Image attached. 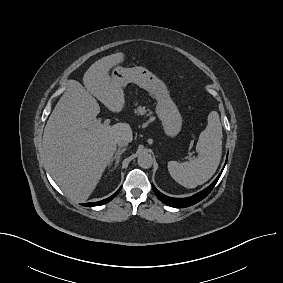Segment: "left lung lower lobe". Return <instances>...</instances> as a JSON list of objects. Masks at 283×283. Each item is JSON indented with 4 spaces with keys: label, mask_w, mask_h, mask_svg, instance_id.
I'll return each instance as SVG.
<instances>
[{
    "label": "left lung lower lobe",
    "mask_w": 283,
    "mask_h": 283,
    "mask_svg": "<svg viewBox=\"0 0 283 283\" xmlns=\"http://www.w3.org/2000/svg\"><path fill=\"white\" fill-rule=\"evenodd\" d=\"M224 167H225V165H224ZM222 171H221V173H222ZM221 173L219 174V176L214 180V182L209 187H207L203 191H201V192H199V193H197V194H195V195H193L191 197H188V198H172V197H168V196L162 194L161 192H159L155 188V186L153 184H152V188H153V191L156 194V196L162 202L167 204L168 206L176 207V208L189 207V206H191L193 204L198 203L202 199H204L212 191L213 187L215 186V184L217 183L219 177L221 176Z\"/></svg>",
    "instance_id": "1"
}]
</instances>
